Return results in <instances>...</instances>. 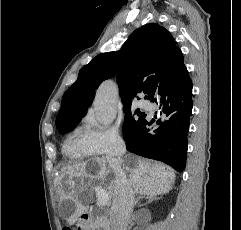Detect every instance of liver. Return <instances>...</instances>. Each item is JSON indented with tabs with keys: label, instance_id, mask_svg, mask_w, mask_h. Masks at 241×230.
Listing matches in <instances>:
<instances>
[{
	"label": "liver",
	"instance_id": "liver-1",
	"mask_svg": "<svg viewBox=\"0 0 241 230\" xmlns=\"http://www.w3.org/2000/svg\"><path fill=\"white\" fill-rule=\"evenodd\" d=\"M123 164V169L128 173V179L134 191L140 195L155 197L162 193H167L173 188L175 173L163 164L151 163L136 156H130L127 160L117 159ZM97 164L96 172L90 175L87 171V164L80 163L68 166L63 169L68 175L67 184L71 186V191L64 194L61 202L67 201L74 204V211L71 216V223H74L78 217L88 211V206L82 204L80 195L91 190L102 189L108 194L109 200L115 198V180L110 176V164L107 159H95ZM90 177L91 183L84 180ZM73 178L79 180V185L73 181ZM99 182V186L95 185ZM92 184V185H91ZM103 186L105 189H103Z\"/></svg>",
	"mask_w": 241,
	"mask_h": 230
}]
</instances>
